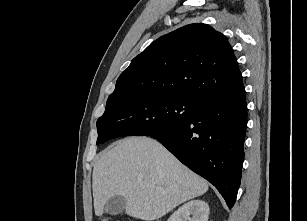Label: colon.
<instances>
[{
    "mask_svg": "<svg viewBox=\"0 0 307 221\" xmlns=\"http://www.w3.org/2000/svg\"><path fill=\"white\" fill-rule=\"evenodd\" d=\"M101 221H108L107 219H102Z\"/></svg>",
    "mask_w": 307,
    "mask_h": 221,
    "instance_id": "colon-1",
    "label": "colon"
}]
</instances>
